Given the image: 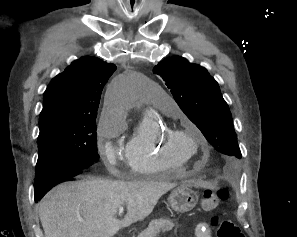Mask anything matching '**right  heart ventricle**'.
I'll return each instance as SVG.
<instances>
[{"label": "right heart ventricle", "mask_w": 297, "mask_h": 237, "mask_svg": "<svg viewBox=\"0 0 297 237\" xmlns=\"http://www.w3.org/2000/svg\"><path fill=\"white\" fill-rule=\"evenodd\" d=\"M160 109L167 115L174 112L165 107ZM166 130L167 124L155 113H143L125 147L127 163L134 173L142 176L165 175L186 165V159L167 151L162 144L161 137Z\"/></svg>", "instance_id": "obj_1"}]
</instances>
